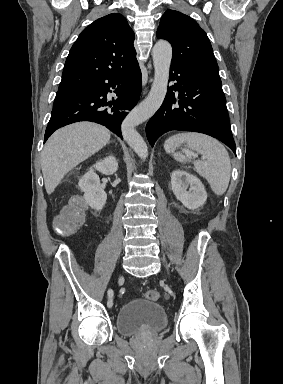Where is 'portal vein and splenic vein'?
Wrapping results in <instances>:
<instances>
[{"label":"portal vein and splenic vein","instance_id":"18ae733b","mask_svg":"<svg viewBox=\"0 0 283 384\" xmlns=\"http://www.w3.org/2000/svg\"><path fill=\"white\" fill-rule=\"evenodd\" d=\"M189 156H192V158H198V154H194V152H188ZM202 160H205V158H202Z\"/></svg>","mask_w":283,"mask_h":384}]
</instances>
